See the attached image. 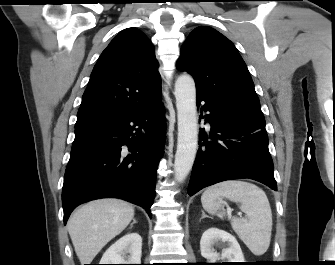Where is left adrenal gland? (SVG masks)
<instances>
[{"mask_svg": "<svg viewBox=\"0 0 335 265\" xmlns=\"http://www.w3.org/2000/svg\"><path fill=\"white\" fill-rule=\"evenodd\" d=\"M208 217L205 212L202 210V218Z\"/></svg>", "mask_w": 335, "mask_h": 265, "instance_id": "a2214340", "label": "left adrenal gland"}]
</instances>
